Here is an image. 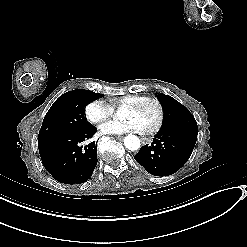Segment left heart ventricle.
<instances>
[{"mask_svg": "<svg viewBox=\"0 0 247 247\" xmlns=\"http://www.w3.org/2000/svg\"><path fill=\"white\" fill-rule=\"evenodd\" d=\"M123 117L127 120L137 119L142 127L143 132L153 129L158 120V106L153 102H148L139 110L125 108Z\"/></svg>", "mask_w": 247, "mask_h": 247, "instance_id": "left-heart-ventricle-1", "label": "left heart ventricle"}]
</instances>
